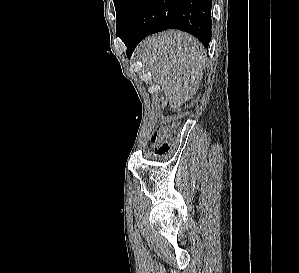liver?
<instances>
[{"mask_svg":"<svg viewBox=\"0 0 299 273\" xmlns=\"http://www.w3.org/2000/svg\"><path fill=\"white\" fill-rule=\"evenodd\" d=\"M135 56L151 72L173 109L192 98L202 81L206 51L196 38L182 31L146 38Z\"/></svg>","mask_w":299,"mask_h":273,"instance_id":"1","label":"liver"}]
</instances>
